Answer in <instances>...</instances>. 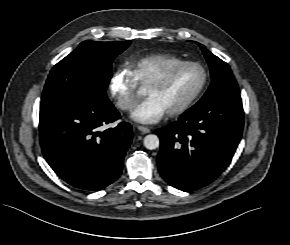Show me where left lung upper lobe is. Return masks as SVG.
Instances as JSON below:
<instances>
[{"label":"left lung upper lobe","mask_w":290,"mask_h":245,"mask_svg":"<svg viewBox=\"0 0 290 245\" xmlns=\"http://www.w3.org/2000/svg\"><path fill=\"white\" fill-rule=\"evenodd\" d=\"M202 49L210 66L212 83L198 103L217 99H241L238 85L228 64L208 51L204 45L197 43Z\"/></svg>","instance_id":"obj_1"}]
</instances>
